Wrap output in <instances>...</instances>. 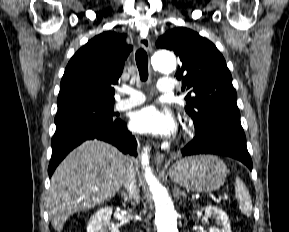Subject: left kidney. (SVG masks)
I'll return each mask as SVG.
<instances>
[{"mask_svg":"<svg viewBox=\"0 0 289 232\" xmlns=\"http://www.w3.org/2000/svg\"><path fill=\"white\" fill-rule=\"evenodd\" d=\"M205 216L213 217L216 220L218 228H213L211 232H232L227 214L216 206H207L205 208ZM204 232V231H200Z\"/></svg>","mask_w":289,"mask_h":232,"instance_id":"obj_1","label":"left kidney"}]
</instances>
